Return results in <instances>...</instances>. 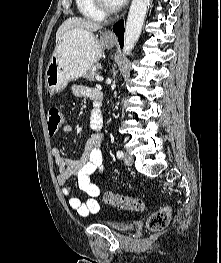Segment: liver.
Listing matches in <instances>:
<instances>
[{"label": "liver", "instance_id": "liver-1", "mask_svg": "<svg viewBox=\"0 0 221 263\" xmlns=\"http://www.w3.org/2000/svg\"><path fill=\"white\" fill-rule=\"evenodd\" d=\"M101 29V26L97 23L91 22L86 19L71 17L66 19L62 25L58 28L56 33V44L59 42L61 36L69 30H83L87 32H95Z\"/></svg>", "mask_w": 221, "mask_h": 263}]
</instances>
